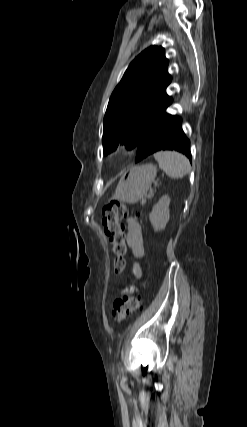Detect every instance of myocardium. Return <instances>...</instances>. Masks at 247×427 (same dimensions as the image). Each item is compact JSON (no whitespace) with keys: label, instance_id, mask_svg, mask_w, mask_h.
I'll return each mask as SVG.
<instances>
[{"label":"myocardium","instance_id":"f54148a6","mask_svg":"<svg viewBox=\"0 0 247 427\" xmlns=\"http://www.w3.org/2000/svg\"><path fill=\"white\" fill-rule=\"evenodd\" d=\"M121 154H122V150H120V149L115 150V151L112 153V155H113L114 157H119V156H121Z\"/></svg>","mask_w":247,"mask_h":427}]
</instances>
